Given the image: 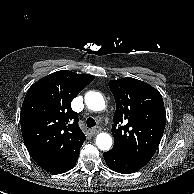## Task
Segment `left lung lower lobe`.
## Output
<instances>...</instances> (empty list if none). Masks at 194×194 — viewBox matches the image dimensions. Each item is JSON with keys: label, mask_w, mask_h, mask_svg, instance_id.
Returning a JSON list of instances; mask_svg holds the SVG:
<instances>
[{"label": "left lung lower lobe", "mask_w": 194, "mask_h": 194, "mask_svg": "<svg viewBox=\"0 0 194 194\" xmlns=\"http://www.w3.org/2000/svg\"><path fill=\"white\" fill-rule=\"evenodd\" d=\"M104 158L111 170L122 174L137 172L146 165L112 149L104 153Z\"/></svg>", "instance_id": "obj_1"}]
</instances>
